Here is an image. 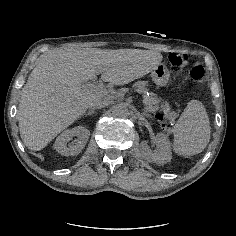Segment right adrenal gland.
<instances>
[{
	"label": "right adrenal gland",
	"mask_w": 236,
	"mask_h": 236,
	"mask_svg": "<svg viewBox=\"0 0 236 236\" xmlns=\"http://www.w3.org/2000/svg\"><path fill=\"white\" fill-rule=\"evenodd\" d=\"M94 113H95V111H94V109L92 108V109L86 114V116L92 115V114H94Z\"/></svg>",
	"instance_id": "obj_1"
}]
</instances>
